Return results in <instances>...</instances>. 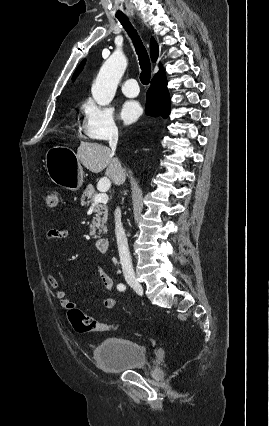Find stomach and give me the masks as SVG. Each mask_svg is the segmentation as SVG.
Masks as SVG:
<instances>
[{
	"label": "stomach",
	"mask_w": 269,
	"mask_h": 426,
	"mask_svg": "<svg viewBox=\"0 0 269 426\" xmlns=\"http://www.w3.org/2000/svg\"><path fill=\"white\" fill-rule=\"evenodd\" d=\"M45 168L52 182L77 191L83 184V168L77 155L64 146H54L45 154Z\"/></svg>",
	"instance_id": "1"
}]
</instances>
